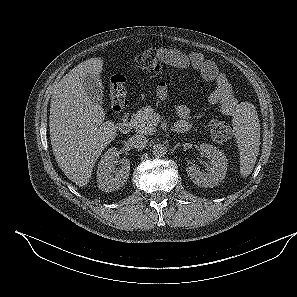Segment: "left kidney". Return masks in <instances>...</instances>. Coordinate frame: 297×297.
<instances>
[{"instance_id":"obj_1","label":"left kidney","mask_w":297,"mask_h":297,"mask_svg":"<svg viewBox=\"0 0 297 297\" xmlns=\"http://www.w3.org/2000/svg\"><path fill=\"white\" fill-rule=\"evenodd\" d=\"M200 151L210 159V164L207 166V172L200 171V168L191 165L186 168L190 179L200 187H214L221 182L227 172V158L224 153L210 144H201Z\"/></svg>"}]
</instances>
